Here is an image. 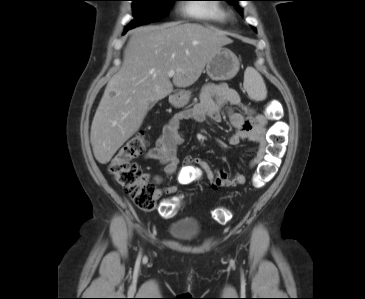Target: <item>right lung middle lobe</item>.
Masks as SVG:
<instances>
[{
  "instance_id": "right-lung-middle-lobe-1",
  "label": "right lung middle lobe",
  "mask_w": 365,
  "mask_h": 299,
  "mask_svg": "<svg viewBox=\"0 0 365 299\" xmlns=\"http://www.w3.org/2000/svg\"><path fill=\"white\" fill-rule=\"evenodd\" d=\"M134 20L126 27L131 29L139 25L160 20L176 0H132Z\"/></svg>"
}]
</instances>
